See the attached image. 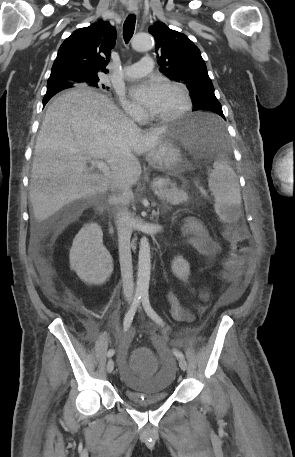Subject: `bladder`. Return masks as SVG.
<instances>
[{
  "instance_id": "bladder-1",
  "label": "bladder",
  "mask_w": 295,
  "mask_h": 457,
  "mask_svg": "<svg viewBox=\"0 0 295 457\" xmlns=\"http://www.w3.org/2000/svg\"><path fill=\"white\" fill-rule=\"evenodd\" d=\"M116 347H125V338L115 339ZM157 354H161L158 359V374H132L131 360L124 356L122 351H114L112 357L114 364L118 365L116 375L124 379V396L126 399L139 407H147L166 401L169 397L168 387L173 378V369L177 363L173 355L168 353L165 342H156L154 345ZM130 373L129 378L128 375Z\"/></svg>"
}]
</instances>
